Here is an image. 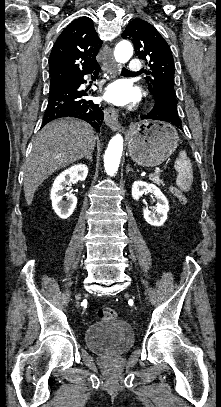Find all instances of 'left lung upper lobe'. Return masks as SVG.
<instances>
[{
    "label": "left lung upper lobe",
    "instance_id": "1",
    "mask_svg": "<svg viewBox=\"0 0 221 407\" xmlns=\"http://www.w3.org/2000/svg\"><path fill=\"white\" fill-rule=\"evenodd\" d=\"M124 39H131L136 55L144 59L150 67L145 79L148 89L154 98L167 92L175 98L174 90V61L171 49L157 29L142 19L131 21L122 34Z\"/></svg>",
    "mask_w": 221,
    "mask_h": 407
}]
</instances>
